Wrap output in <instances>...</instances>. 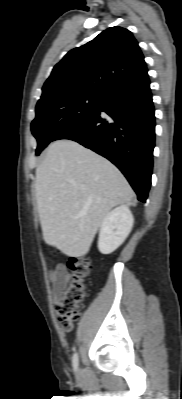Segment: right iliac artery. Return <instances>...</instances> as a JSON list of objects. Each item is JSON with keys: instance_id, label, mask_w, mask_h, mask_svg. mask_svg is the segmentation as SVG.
<instances>
[{"instance_id": "82829eb1", "label": "right iliac artery", "mask_w": 182, "mask_h": 399, "mask_svg": "<svg viewBox=\"0 0 182 399\" xmlns=\"http://www.w3.org/2000/svg\"><path fill=\"white\" fill-rule=\"evenodd\" d=\"M78 362H79L78 353H75L72 357V364L75 371L77 370Z\"/></svg>"}]
</instances>
